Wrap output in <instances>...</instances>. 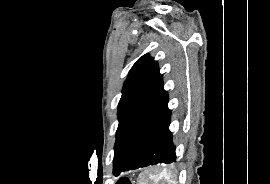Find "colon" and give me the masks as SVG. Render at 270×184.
I'll list each match as a JSON object with an SVG mask.
<instances>
[{"label": "colon", "instance_id": "obj_1", "mask_svg": "<svg viewBox=\"0 0 270 184\" xmlns=\"http://www.w3.org/2000/svg\"><path fill=\"white\" fill-rule=\"evenodd\" d=\"M118 184H133V183L128 178H122V179H120V181L118 182Z\"/></svg>", "mask_w": 270, "mask_h": 184}]
</instances>
